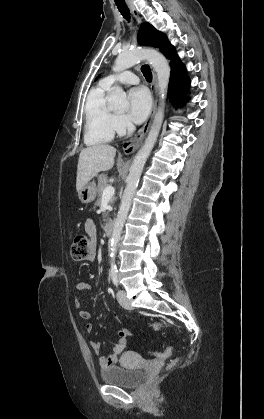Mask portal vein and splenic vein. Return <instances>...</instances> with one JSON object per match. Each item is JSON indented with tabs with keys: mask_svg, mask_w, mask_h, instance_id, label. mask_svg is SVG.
<instances>
[{
	"mask_svg": "<svg viewBox=\"0 0 264 419\" xmlns=\"http://www.w3.org/2000/svg\"><path fill=\"white\" fill-rule=\"evenodd\" d=\"M115 193L113 186H108L104 189L102 198H111Z\"/></svg>",
	"mask_w": 264,
	"mask_h": 419,
	"instance_id": "1",
	"label": "portal vein and splenic vein"
}]
</instances>
